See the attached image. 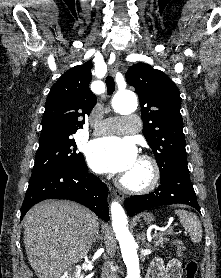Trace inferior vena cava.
<instances>
[{"instance_id": "obj_1", "label": "inferior vena cava", "mask_w": 221, "mask_h": 278, "mask_svg": "<svg viewBox=\"0 0 221 278\" xmlns=\"http://www.w3.org/2000/svg\"><path fill=\"white\" fill-rule=\"evenodd\" d=\"M101 278H117L116 267L112 262H106L103 265Z\"/></svg>"}]
</instances>
